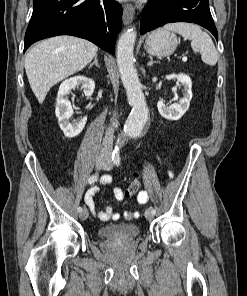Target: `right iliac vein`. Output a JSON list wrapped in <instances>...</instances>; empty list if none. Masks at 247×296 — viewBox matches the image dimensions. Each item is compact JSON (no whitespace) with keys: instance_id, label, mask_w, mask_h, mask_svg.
<instances>
[{"instance_id":"1","label":"right iliac vein","mask_w":247,"mask_h":296,"mask_svg":"<svg viewBox=\"0 0 247 296\" xmlns=\"http://www.w3.org/2000/svg\"><path fill=\"white\" fill-rule=\"evenodd\" d=\"M105 162H106L105 156L99 155L96 159V162H95L96 169H100L105 164ZM79 216L82 220L87 219L88 210L87 209L82 210V212L80 213Z\"/></svg>"}]
</instances>
